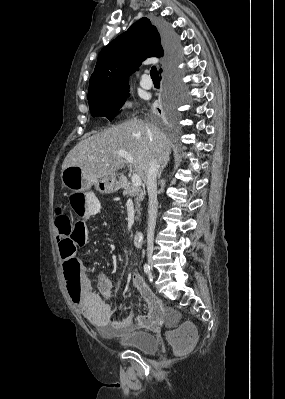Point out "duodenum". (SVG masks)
I'll return each mask as SVG.
<instances>
[{
    "label": "duodenum",
    "instance_id": "410a0bca",
    "mask_svg": "<svg viewBox=\"0 0 285 399\" xmlns=\"http://www.w3.org/2000/svg\"><path fill=\"white\" fill-rule=\"evenodd\" d=\"M145 231L144 230H137L133 235V242L135 245H141L145 239Z\"/></svg>",
    "mask_w": 285,
    "mask_h": 399
}]
</instances>
